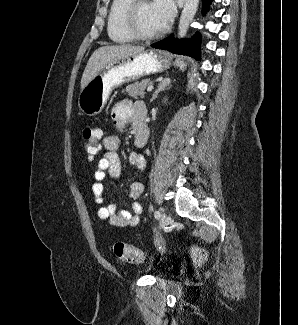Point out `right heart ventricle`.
<instances>
[{
  "label": "right heart ventricle",
  "mask_w": 298,
  "mask_h": 325,
  "mask_svg": "<svg viewBox=\"0 0 298 325\" xmlns=\"http://www.w3.org/2000/svg\"><path fill=\"white\" fill-rule=\"evenodd\" d=\"M129 0H115L112 2L107 16V35L112 44L126 46L133 42L122 29L121 16L125 5Z\"/></svg>",
  "instance_id": "obj_1"
}]
</instances>
